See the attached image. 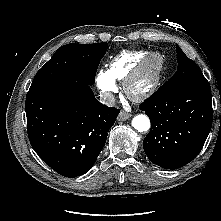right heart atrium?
Returning <instances> with one entry per match:
<instances>
[{
  "instance_id": "1",
  "label": "right heart atrium",
  "mask_w": 221,
  "mask_h": 221,
  "mask_svg": "<svg viewBox=\"0 0 221 221\" xmlns=\"http://www.w3.org/2000/svg\"><path fill=\"white\" fill-rule=\"evenodd\" d=\"M96 84L101 94L106 98H110L118 90L116 79L109 70L101 69L97 72Z\"/></svg>"
}]
</instances>
